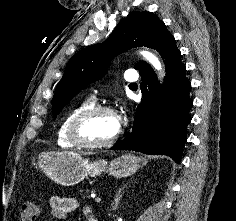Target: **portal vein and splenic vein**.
Returning <instances> with one entry per match:
<instances>
[{"instance_id": "1", "label": "portal vein and splenic vein", "mask_w": 236, "mask_h": 221, "mask_svg": "<svg viewBox=\"0 0 236 221\" xmlns=\"http://www.w3.org/2000/svg\"><path fill=\"white\" fill-rule=\"evenodd\" d=\"M94 200H95V202H100L101 198L100 197H95Z\"/></svg>"}]
</instances>
